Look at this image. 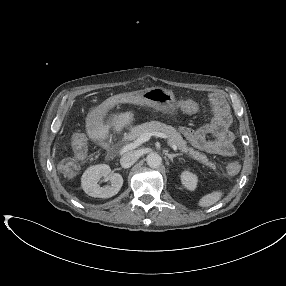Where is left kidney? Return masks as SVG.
I'll list each match as a JSON object with an SVG mask.
<instances>
[{
  "instance_id": "1",
  "label": "left kidney",
  "mask_w": 286,
  "mask_h": 286,
  "mask_svg": "<svg viewBox=\"0 0 286 286\" xmlns=\"http://www.w3.org/2000/svg\"><path fill=\"white\" fill-rule=\"evenodd\" d=\"M181 181L182 184L188 189V190H195L196 186H197V176L189 171H184L181 174Z\"/></svg>"
}]
</instances>
